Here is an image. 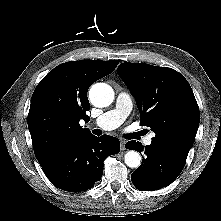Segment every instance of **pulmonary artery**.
<instances>
[{
  "label": "pulmonary artery",
  "instance_id": "obj_1",
  "mask_svg": "<svg viewBox=\"0 0 221 221\" xmlns=\"http://www.w3.org/2000/svg\"><path fill=\"white\" fill-rule=\"evenodd\" d=\"M132 109V101L130 96L121 92L116 98V103L113 109L100 115L95 121L94 125L102 130H113L119 127ZM152 135L145 139V144L150 145L152 143Z\"/></svg>",
  "mask_w": 221,
  "mask_h": 221
}]
</instances>
